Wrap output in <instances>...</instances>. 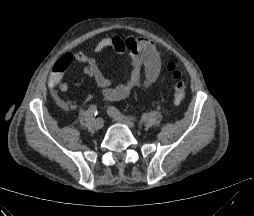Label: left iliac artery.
I'll return each instance as SVG.
<instances>
[{
	"label": "left iliac artery",
	"mask_w": 254,
	"mask_h": 216,
	"mask_svg": "<svg viewBox=\"0 0 254 216\" xmlns=\"http://www.w3.org/2000/svg\"><path fill=\"white\" fill-rule=\"evenodd\" d=\"M109 111L111 113H113L114 115L118 116V117L129 118L131 120H136L135 116L124 114V113L120 112L117 108H115L113 106L109 108Z\"/></svg>",
	"instance_id": "left-iliac-artery-1"
}]
</instances>
